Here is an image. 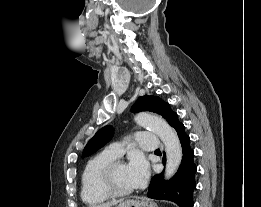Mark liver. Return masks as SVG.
<instances>
[{
  "mask_svg": "<svg viewBox=\"0 0 261 207\" xmlns=\"http://www.w3.org/2000/svg\"><path fill=\"white\" fill-rule=\"evenodd\" d=\"M123 200H113L111 202H107V203H103V204H100V205H93V206H90V207H112L120 202H122Z\"/></svg>",
  "mask_w": 261,
  "mask_h": 207,
  "instance_id": "1",
  "label": "liver"
}]
</instances>
